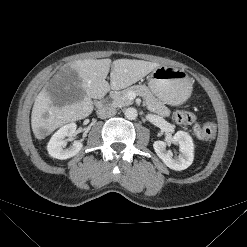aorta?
I'll list each match as a JSON object with an SVG mask.
<instances>
[{"mask_svg": "<svg viewBox=\"0 0 247 247\" xmlns=\"http://www.w3.org/2000/svg\"><path fill=\"white\" fill-rule=\"evenodd\" d=\"M125 117L129 120H135L138 116V112L135 108L129 107L125 110Z\"/></svg>", "mask_w": 247, "mask_h": 247, "instance_id": "obj_1", "label": "aorta"}]
</instances>
